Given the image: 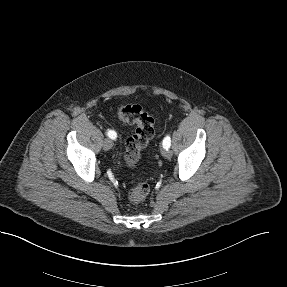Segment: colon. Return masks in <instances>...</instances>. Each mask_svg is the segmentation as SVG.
<instances>
[{"mask_svg": "<svg viewBox=\"0 0 287 287\" xmlns=\"http://www.w3.org/2000/svg\"><path fill=\"white\" fill-rule=\"evenodd\" d=\"M118 118L136 126L134 134L125 143V162L129 167H135L140 160L141 151L154 136V119L139 105H121L117 110ZM149 193L146 182H137L130 190L129 198L133 203L143 201Z\"/></svg>", "mask_w": 287, "mask_h": 287, "instance_id": "colon-1", "label": "colon"}]
</instances>
